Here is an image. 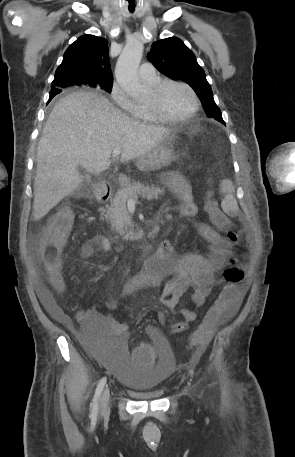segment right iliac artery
<instances>
[{"mask_svg": "<svg viewBox=\"0 0 295 457\" xmlns=\"http://www.w3.org/2000/svg\"><path fill=\"white\" fill-rule=\"evenodd\" d=\"M106 383V378L103 377L100 381H99V384L96 388V391H95V394H94V398H93V402H92V411H91V416L94 417L97 415V411H98V401H99V398L101 396V393L103 391V388H104V385Z\"/></svg>", "mask_w": 295, "mask_h": 457, "instance_id": "1", "label": "right iliac artery"}]
</instances>
